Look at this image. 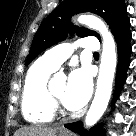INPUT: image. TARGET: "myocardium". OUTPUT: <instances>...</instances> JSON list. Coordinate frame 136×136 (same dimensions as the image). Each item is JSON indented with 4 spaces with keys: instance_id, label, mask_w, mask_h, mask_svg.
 Masks as SVG:
<instances>
[{
    "instance_id": "f54148a6",
    "label": "myocardium",
    "mask_w": 136,
    "mask_h": 136,
    "mask_svg": "<svg viewBox=\"0 0 136 136\" xmlns=\"http://www.w3.org/2000/svg\"><path fill=\"white\" fill-rule=\"evenodd\" d=\"M49 97L51 100V103L53 105V108L55 111H64L61 99H59L52 91L51 88H48Z\"/></svg>"
}]
</instances>
